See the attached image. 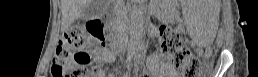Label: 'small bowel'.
I'll return each instance as SVG.
<instances>
[{
    "label": "small bowel",
    "mask_w": 258,
    "mask_h": 77,
    "mask_svg": "<svg viewBox=\"0 0 258 77\" xmlns=\"http://www.w3.org/2000/svg\"><path fill=\"white\" fill-rule=\"evenodd\" d=\"M92 56L94 61H96L99 65H103L106 63H110L112 62L115 57L112 53L104 50V49H96L92 52ZM154 65L157 67V69H161V65L157 64V61L153 62ZM161 73H165V75H171L174 73V71L170 70L169 67L166 68L165 72H161ZM104 74V69L102 67H97L95 69V75L97 76H101Z\"/></svg>",
    "instance_id": "obj_1"
}]
</instances>
